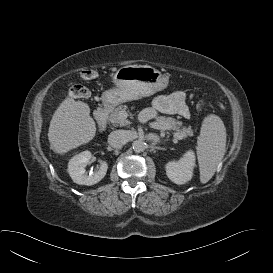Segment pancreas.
Instances as JSON below:
<instances>
[{
    "instance_id": "obj_1",
    "label": "pancreas",
    "mask_w": 273,
    "mask_h": 273,
    "mask_svg": "<svg viewBox=\"0 0 273 273\" xmlns=\"http://www.w3.org/2000/svg\"><path fill=\"white\" fill-rule=\"evenodd\" d=\"M127 109L128 107L126 105H121L115 108L109 115V121L114 127H123L130 124V121L122 115V113H128ZM150 125L154 129L161 130L162 133H164L165 130H175V137L178 139L193 135V130L190 127L187 128L184 126L180 128L182 123L172 117H157Z\"/></svg>"
}]
</instances>
